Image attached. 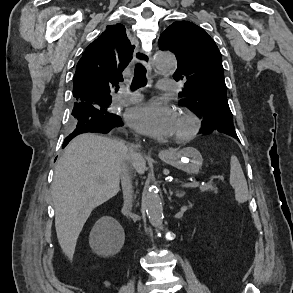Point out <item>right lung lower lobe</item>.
<instances>
[{"mask_svg": "<svg viewBox=\"0 0 293 293\" xmlns=\"http://www.w3.org/2000/svg\"><path fill=\"white\" fill-rule=\"evenodd\" d=\"M72 115L75 118V129L64 140V148L75 136L87 132L107 133L122 126L121 118L114 113H105L91 105L74 103Z\"/></svg>", "mask_w": 293, "mask_h": 293, "instance_id": "right-lung-lower-lobe-1", "label": "right lung lower lobe"}]
</instances>
